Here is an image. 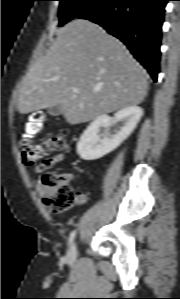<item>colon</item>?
Returning a JSON list of instances; mask_svg holds the SVG:
<instances>
[{
    "instance_id": "colon-1",
    "label": "colon",
    "mask_w": 180,
    "mask_h": 299,
    "mask_svg": "<svg viewBox=\"0 0 180 299\" xmlns=\"http://www.w3.org/2000/svg\"><path fill=\"white\" fill-rule=\"evenodd\" d=\"M43 126L44 115L40 111L32 112L24 125V138L20 148L22 160L26 165H35L51 151L63 152L68 149V142L62 132H51L41 142H34L32 138ZM42 183L45 186L42 200L50 211L62 212L75 204L78 195L64 175H44Z\"/></svg>"
}]
</instances>
